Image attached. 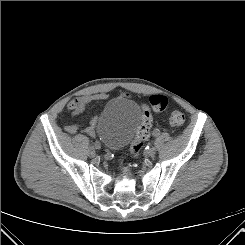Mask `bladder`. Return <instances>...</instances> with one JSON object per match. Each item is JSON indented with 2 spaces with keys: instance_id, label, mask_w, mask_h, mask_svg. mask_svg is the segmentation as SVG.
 Segmentation results:
<instances>
[{
  "instance_id": "1",
  "label": "bladder",
  "mask_w": 245,
  "mask_h": 245,
  "mask_svg": "<svg viewBox=\"0 0 245 245\" xmlns=\"http://www.w3.org/2000/svg\"><path fill=\"white\" fill-rule=\"evenodd\" d=\"M142 116L138 105L127 98L108 102L96 122L100 139L110 149L126 146L137 131Z\"/></svg>"
}]
</instances>
